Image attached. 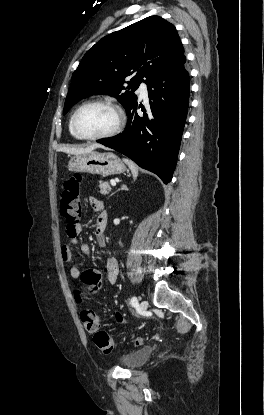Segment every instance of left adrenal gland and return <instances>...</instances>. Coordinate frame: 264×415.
Returning <instances> with one entry per match:
<instances>
[{
    "instance_id": "left-adrenal-gland-1",
    "label": "left adrenal gland",
    "mask_w": 264,
    "mask_h": 415,
    "mask_svg": "<svg viewBox=\"0 0 264 415\" xmlns=\"http://www.w3.org/2000/svg\"><path fill=\"white\" fill-rule=\"evenodd\" d=\"M120 190H127V187L123 184L122 186H121V188L120 189H118L116 192H118V191H120ZM116 192H114V193H116ZM113 193V194H114ZM112 194V195H113Z\"/></svg>"
}]
</instances>
